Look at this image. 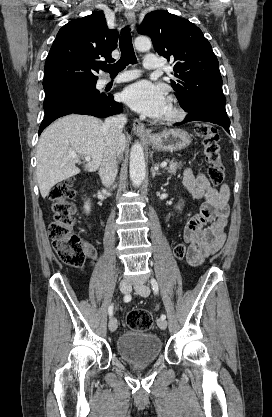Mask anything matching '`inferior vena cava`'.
<instances>
[{"mask_svg":"<svg viewBox=\"0 0 272 417\" xmlns=\"http://www.w3.org/2000/svg\"><path fill=\"white\" fill-rule=\"evenodd\" d=\"M127 122V118L123 114L108 117L103 124V129L106 133L107 148L100 165L99 175L102 184L105 187H110L117 176V144L119 138L122 136V129Z\"/></svg>","mask_w":272,"mask_h":417,"instance_id":"inferior-vena-cava-1","label":"inferior vena cava"}]
</instances>
